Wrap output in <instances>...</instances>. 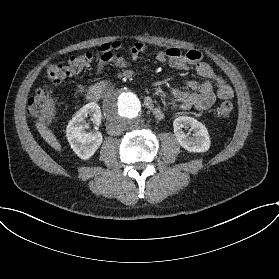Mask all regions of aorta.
Masks as SVG:
<instances>
[{
	"instance_id": "obj_1",
	"label": "aorta",
	"mask_w": 279,
	"mask_h": 279,
	"mask_svg": "<svg viewBox=\"0 0 279 279\" xmlns=\"http://www.w3.org/2000/svg\"><path fill=\"white\" fill-rule=\"evenodd\" d=\"M103 109L109 124L127 129L137 123L142 105L135 93L121 88L113 90L106 97Z\"/></svg>"
}]
</instances>
